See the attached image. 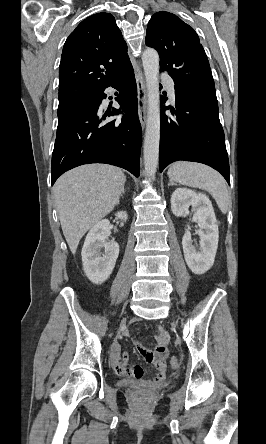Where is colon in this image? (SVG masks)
Returning <instances> with one entry per match:
<instances>
[{
  "instance_id": "obj_1",
  "label": "colon",
  "mask_w": 266,
  "mask_h": 444,
  "mask_svg": "<svg viewBox=\"0 0 266 444\" xmlns=\"http://www.w3.org/2000/svg\"><path fill=\"white\" fill-rule=\"evenodd\" d=\"M170 365L172 368H178L179 367V361L176 357H172L170 360Z\"/></svg>"
}]
</instances>
